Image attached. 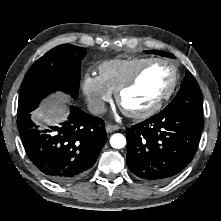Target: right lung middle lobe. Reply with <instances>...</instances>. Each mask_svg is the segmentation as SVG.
Listing matches in <instances>:
<instances>
[{"instance_id":"right-lung-middle-lobe-1","label":"right lung middle lobe","mask_w":221,"mask_h":221,"mask_svg":"<svg viewBox=\"0 0 221 221\" xmlns=\"http://www.w3.org/2000/svg\"><path fill=\"white\" fill-rule=\"evenodd\" d=\"M85 55V48L62 44L38 59L21 84L18 116L30 113L42 99L58 90L77 98Z\"/></svg>"}]
</instances>
